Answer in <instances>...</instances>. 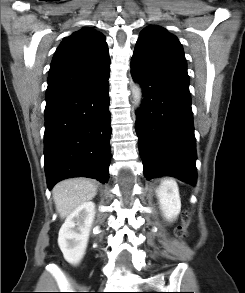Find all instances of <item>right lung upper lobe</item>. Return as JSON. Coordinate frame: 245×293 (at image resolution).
<instances>
[{"mask_svg":"<svg viewBox=\"0 0 245 293\" xmlns=\"http://www.w3.org/2000/svg\"><path fill=\"white\" fill-rule=\"evenodd\" d=\"M105 36L82 28L64 38L49 71L46 103L61 98L110 72Z\"/></svg>","mask_w":245,"mask_h":293,"instance_id":"1","label":"right lung upper lobe"}]
</instances>
